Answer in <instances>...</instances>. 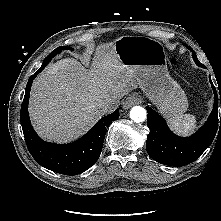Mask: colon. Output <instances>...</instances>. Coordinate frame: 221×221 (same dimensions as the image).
I'll list each match as a JSON object with an SVG mask.
<instances>
[{"label": "colon", "instance_id": "colon-1", "mask_svg": "<svg viewBox=\"0 0 221 221\" xmlns=\"http://www.w3.org/2000/svg\"><path fill=\"white\" fill-rule=\"evenodd\" d=\"M175 65H176V67H178V66H179V64H178V63H175Z\"/></svg>", "mask_w": 221, "mask_h": 221}]
</instances>
